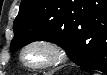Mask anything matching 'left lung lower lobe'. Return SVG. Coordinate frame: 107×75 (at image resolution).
Listing matches in <instances>:
<instances>
[{
	"label": "left lung lower lobe",
	"instance_id": "left-lung-lower-lobe-1",
	"mask_svg": "<svg viewBox=\"0 0 107 75\" xmlns=\"http://www.w3.org/2000/svg\"><path fill=\"white\" fill-rule=\"evenodd\" d=\"M88 1L96 3L97 9L85 16L78 35L79 41L86 43L87 51L69 58L78 66L107 74V0Z\"/></svg>",
	"mask_w": 107,
	"mask_h": 75
}]
</instances>
